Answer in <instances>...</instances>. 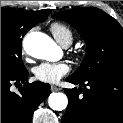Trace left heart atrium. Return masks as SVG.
I'll return each mask as SVG.
<instances>
[{
	"mask_svg": "<svg viewBox=\"0 0 123 123\" xmlns=\"http://www.w3.org/2000/svg\"><path fill=\"white\" fill-rule=\"evenodd\" d=\"M70 71L68 64L64 62L50 63L43 62L34 68V76L37 80L54 84Z\"/></svg>",
	"mask_w": 123,
	"mask_h": 123,
	"instance_id": "39dd6f15",
	"label": "left heart atrium"
}]
</instances>
